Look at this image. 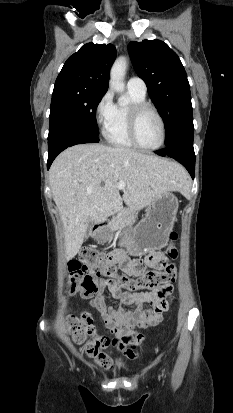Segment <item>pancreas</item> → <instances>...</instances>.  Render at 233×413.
<instances>
[{"mask_svg":"<svg viewBox=\"0 0 233 413\" xmlns=\"http://www.w3.org/2000/svg\"><path fill=\"white\" fill-rule=\"evenodd\" d=\"M137 213L130 208H124L108 223V227L112 231L122 229L126 226L133 225L136 221Z\"/></svg>","mask_w":233,"mask_h":413,"instance_id":"obj_1","label":"pancreas"}]
</instances>
